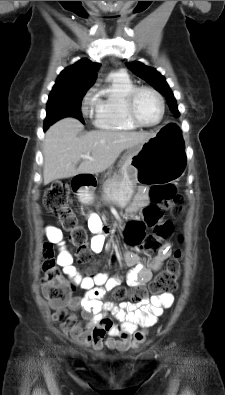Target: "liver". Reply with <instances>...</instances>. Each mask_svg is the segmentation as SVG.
Listing matches in <instances>:
<instances>
[{
    "instance_id": "1",
    "label": "liver",
    "mask_w": 225,
    "mask_h": 395,
    "mask_svg": "<svg viewBox=\"0 0 225 395\" xmlns=\"http://www.w3.org/2000/svg\"><path fill=\"white\" fill-rule=\"evenodd\" d=\"M83 128L77 119L64 118L47 130L43 142L45 185L77 174L103 172L124 150L144 144L156 135L150 132L91 131L77 137ZM84 154H89L92 160L83 159Z\"/></svg>"
}]
</instances>
